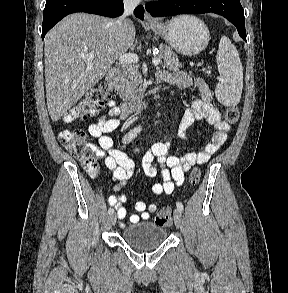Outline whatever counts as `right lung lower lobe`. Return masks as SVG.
<instances>
[{
  "mask_svg": "<svg viewBox=\"0 0 288 293\" xmlns=\"http://www.w3.org/2000/svg\"><path fill=\"white\" fill-rule=\"evenodd\" d=\"M75 12L117 17L123 12V0H47L43 13L42 39L63 17ZM134 14L143 20V6L136 7Z\"/></svg>",
  "mask_w": 288,
  "mask_h": 293,
  "instance_id": "obj_1",
  "label": "right lung lower lobe"
}]
</instances>
